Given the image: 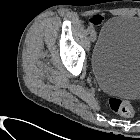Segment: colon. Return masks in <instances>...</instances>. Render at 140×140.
<instances>
[{"instance_id": "obj_1", "label": "colon", "mask_w": 140, "mask_h": 140, "mask_svg": "<svg viewBox=\"0 0 140 140\" xmlns=\"http://www.w3.org/2000/svg\"><path fill=\"white\" fill-rule=\"evenodd\" d=\"M110 109L121 116L130 117L133 115V107L127 100L111 97L108 101Z\"/></svg>"}]
</instances>
